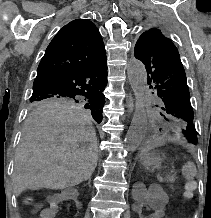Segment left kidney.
<instances>
[{
  "mask_svg": "<svg viewBox=\"0 0 211 218\" xmlns=\"http://www.w3.org/2000/svg\"><path fill=\"white\" fill-rule=\"evenodd\" d=\"M164 202V198H139V202H135L134 215H148V218H165V215H169V207H164Z\"/></svg>",
  "mask_w": 211,
  "mask_h": 218,
  "instance_id": "1",
  "label": "left kidney"
}]
</instances>
